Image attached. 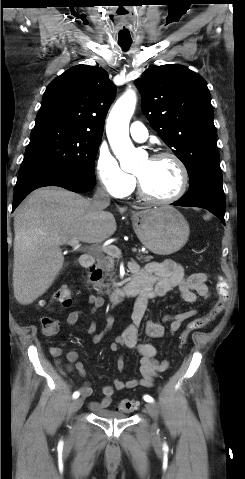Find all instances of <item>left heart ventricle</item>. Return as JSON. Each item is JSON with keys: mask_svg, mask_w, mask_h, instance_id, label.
<instances>
[{"mask_svg": "<svg viewBox=\"0 0 245 479\" xmlns=\"http://www.w3.org/2000/svg\"><path fill=\"white\" fill-rule=\"evenodd\" d=\"M135 175L141 178L147 193L156 198L173 195L180 183L179 169L170 158H147L140 164Z\"/></svg>", "mask_w": 245, "mask_h": 479, "instance_id": "b2bd125f", "label": "left heart ventricle"}]
</instances>
